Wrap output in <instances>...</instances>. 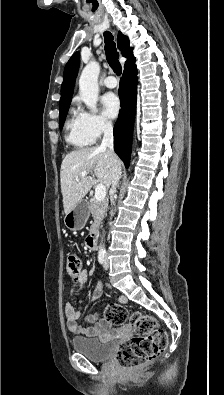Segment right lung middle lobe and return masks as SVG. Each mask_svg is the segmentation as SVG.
<instances>
[{
	"label": "right lung middle lobe",
	"mask_w": 224,
	"mask_h": 395,
	"mask_svg": "<svg viewBox=\"0 0 224 395\" xmlns=\"http://www.w3.org/2000/svg\"><path fill=\"white\" fill-rule=\"evenodd\" d=\"M68 108H69V106L60 110V113H59V126H60V129H62V127H63V123L65 121Z\"/></svg>",
	"instance_id": "obj_1"
}]
</instances>
